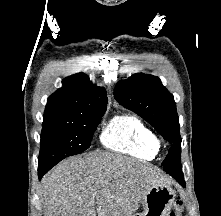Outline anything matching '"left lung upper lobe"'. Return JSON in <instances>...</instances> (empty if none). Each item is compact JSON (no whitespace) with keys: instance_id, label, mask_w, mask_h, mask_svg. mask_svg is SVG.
<instances>
[{"instance_id":"obj_1","label":"left lung upper lobe","mask_w":221,"mask_h":216,"mask_svg":"<svg viewBox=\"0 0 221 216\" xmlns=\"http://www.w3.org/2000/svg\"><path fill=\"white\" fill-rule=\"evenodd\" d=\"M114 97L118 103L144 118L165 140L172 143L162 166L172 177L181 174V137L176 104L173 95L162 85L160 79L136 73L116 84Z\"/></svg>"}]
</instances>
